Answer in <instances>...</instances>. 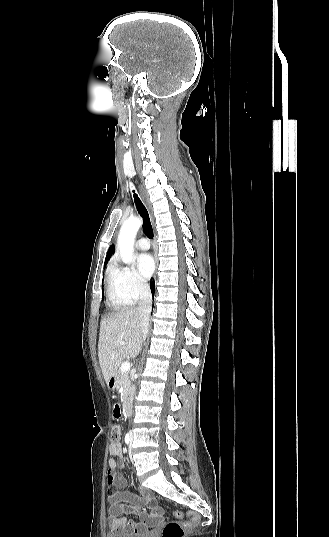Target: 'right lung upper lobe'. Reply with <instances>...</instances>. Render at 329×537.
<instances>
[{
	"label": "right lung upper lobe",
	"mask_w": 329,
	"mask_h": 537,
	"mask_svg": "<svg viewBox=\"0 0 329 537\" xmlns=\"http://www.w3.org/2000/svg\"><path fill=\"white\" fill-rule=\"evenodd\" d=\"M113 254V248L112 246L109 248L108 252H107V255H106V260H105V265L107 264L108 260L110 259V257L112 256Z\"/></svg>",
	"instance_id": "cb5924a9"
}]
</instances>
